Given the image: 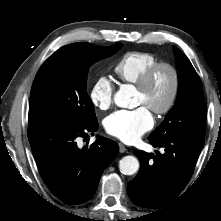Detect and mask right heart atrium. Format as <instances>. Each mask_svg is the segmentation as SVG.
I'll use <instances>...</instances> for the list:
<instances>
[{
	"instance_id": "1",
	"label": "right heart atrium",
	"mask_w": 221,
	"mask_h": 221,
	"mask_svg": "<svg viewBox=\"0 0 221 221\" xmlns=\"http://www.w3.org/2000/svg\"><path fill=\"white\" fill-rule=\"evenodd\" d=\"M114 85L106 76L98 77L92 84L89 99L92 105L100 111L107 110L113 103Z\"/></svg>"
}]
</instances>
